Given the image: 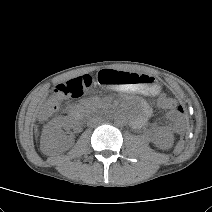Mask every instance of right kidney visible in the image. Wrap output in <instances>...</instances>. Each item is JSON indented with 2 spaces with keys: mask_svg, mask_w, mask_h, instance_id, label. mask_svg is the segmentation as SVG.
Here are the masks:
<instances>
[{
  "mask_svg": "<svg viewBox=\"0 0 212 212\" xmlns=\"http://www.w3.org/2000/svg\"><path fill=\"white\" fill-rule=\"evenodd\" d=\"M72 145V140L66 138L63 141L61 132V125L57 126L53 130L44 131L41 137V149H54L59 147L60 149H67Z\"/></svg>",
  "mask_w": 212,
  "mask_h": 212,
  "instance_id": "obj_1",
  "label": "right kidney"
}]
</instances>
